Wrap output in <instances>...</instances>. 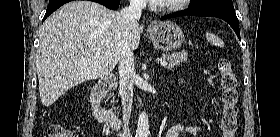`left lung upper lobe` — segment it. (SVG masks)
I'll list each match as a JSON object with an SVG mask.
<instances>
[{
	"label": "left lung upper lobe",
	"instance_id": "left-lung-upper-lobe-1",
	"mask_svg": "<svg viewBox=\"0 0 280 137\" xmlns=\"http://www.w3.org/2000/svg\"><path fill=\"white\" fill-rule=\"evenodd\" d=\"M219 7L234 10L232 0H196L191 8Z\"/></svg>",
	"mask_w": 280,
	"mask_h": 137
}]
</instances>
